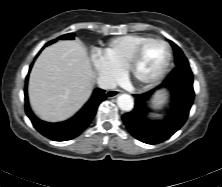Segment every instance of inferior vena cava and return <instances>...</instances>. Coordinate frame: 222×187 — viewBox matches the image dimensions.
Returning <instances> with one entry per match:
<instances>
[{
  "mask_svg": "<svg viewBox=\"0 0 222 187\" xmlns=\"http://www.w3.org/2000/svg\"><path fill=\"white\" fill-rule=\"evenodd\" d=\"M96 81L98 86L104 90L114 89L116 87L115 81L107 76H99Z\"/></svg>",
  "mask_w": 222,
  "mask_h": 187,
  "instance_id": "602c4592",
  "label": "inferior vena cava"
}]
</instances>
